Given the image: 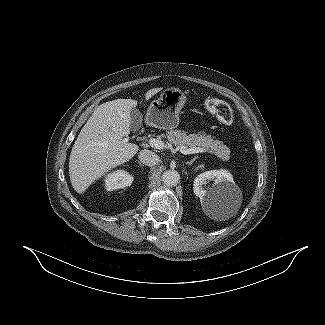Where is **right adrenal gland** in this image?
Masks as SVG:
<instances>
[{"instance_id":"right-adrenal-gland-1","label":"right adrenal gland","mask_w":325,"mask_h":325,"mask_svg":"<svg viewBox=\"0 0 325 325\" xmlns=\"http://www.w3.org/2000/svg\"><path fill=\"white\" fill-rule=\"evenodd\" d=\"M137 164H139V166H141V167L143 166V165L141 164V162H139V161H137Z\"/></svg>"}]
</instances>
